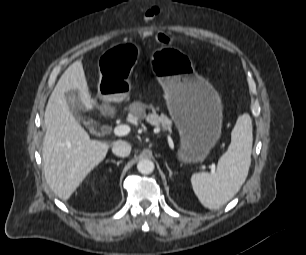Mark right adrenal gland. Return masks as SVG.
Returning a JSON list of instances; mask_svg holds the SVG:
<instances>
[{
  "mask_svg": "<svg viewBox=\"0 0 306 255\" xmlns=\"http://www.w3.org/2000/svg\"><path fill=\"white\" fill-rule=\"evenodd\" d=\"M111 162L116 164L117 166H119L122 163V160H120V161L111 160Z\"/></svg>",
  "mask_w": 306,
  "mask_h": 255,
  "instance_id": "2a0ac1e0",
  "label": "right adrenal gland"
}]
</instances>
